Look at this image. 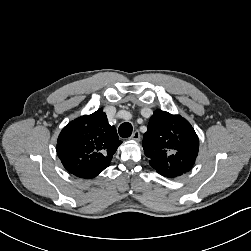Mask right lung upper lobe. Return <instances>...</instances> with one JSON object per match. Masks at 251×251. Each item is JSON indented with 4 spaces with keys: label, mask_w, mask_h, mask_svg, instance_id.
Instances as JSON below:
<instances>
[{
    "label": "right lung upper lobe",
    "mask_w": 251,
    "mask_h": 251,
    "mask_svg": "<svg viewBox=\"0 0 251 251\" xmlns=\"http://www.w3.org/2000/svg\"><path fill=\"white\" fill-rule=\"evenodd\" d=\"M57 154L67 171L93 178L107 168L122 143L102 109L71 121L57 140Z\"/></svg>",
    "instance_id": "obj_1"
}]
</instances>
